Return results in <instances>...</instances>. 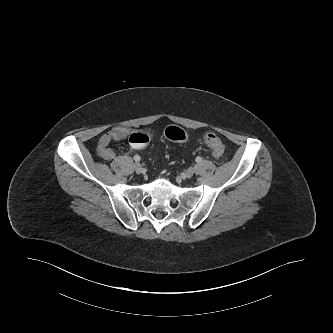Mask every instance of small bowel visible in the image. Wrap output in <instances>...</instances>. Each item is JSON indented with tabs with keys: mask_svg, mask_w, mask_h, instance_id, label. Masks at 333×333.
Returning <instances> with one entry per match:
<instances>
[{
	"mask_svg": "<svg viewBox=\"0 0 333 333\" xmlns=\"http://www.w3.org/2000/svg\"><path fill=\"white\" fill-rule=\"evenodd\" d=\"M132 134L131 129L124 126H117L104 133L98 141L97 154L107 160L111 161L115 158V151L109 146L112 141H118L130 137Z\"/></svg>",
	"mask_w": 333,
	"mask_h": 333,
	"instance_id": "1",
	"label": "small bowel"
}]
</instances>
